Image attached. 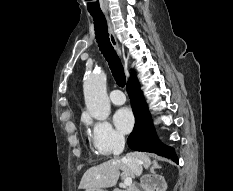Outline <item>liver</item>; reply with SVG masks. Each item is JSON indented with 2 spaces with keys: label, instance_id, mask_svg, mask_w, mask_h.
I'll return each instance as SVG.
<instances>
[{
  "label": "liver",
  "instance_id": "1",
  "mask_svg": "<svg viewBox=\"0 0 233 191\" xmlns=\"http://www.w3.org/2000/svg\"><path fill=\"white\" fill-rule=\"evenodd\" d=\"M129 156H134L139 159L145 168L151 165V160L146 153L132 152L123 159L108 160L100 165L89 168L83 175L79 184V189H102L110 188L117 184L120 177V170L122 176L127 178L133 176V172L129 166L123 162Z\"/></svg>",
  "mask_w": 233,
  "mask_h": 191
}]
</instances>
